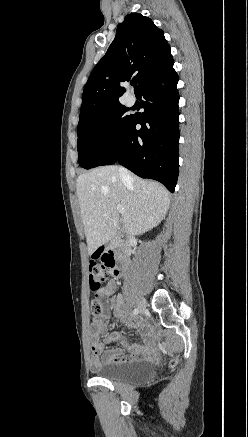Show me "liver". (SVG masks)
I'll return each instance as SVG.
<instances>
[{"label": "liver", "instance_id": "obj_1", "mask_svg": "<svg viewBox=\"0 0 248 437\" xmlns=\"http://www.w3.org/2000/svg\"><path fill=\"white\" fill-rule=\"evenodd\" d=\"M77 196L91 255L112 240L119 228L117 206L125 210L124 229L131 235L156 227L169 209L168 191L159 183L128 172L123 178L117 166H104L78 176Z\"/></svg>", "mask_w": 248, "mask_h": 437}]
</instances>
